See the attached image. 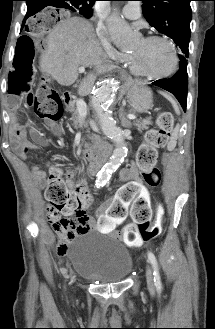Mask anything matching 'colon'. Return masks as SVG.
<instances>
[{
    "mask_svg": "<svg viewBox=\"0 0 215 329\" xmlns=\"http://www.w3.org/2000/svg\"><path fill=\"white\" fill-rule=\"evenodd\" d=\"M61 21H69V14L51 11L49 14H32L31 19H28V25H24L26 37H17L18 55L13 56V61H7L9 73H22L11 74V81L6 88L9 109H20L21 103L28 101L33 105L39 118L50 121L60 119V97L48 86L49 74H39L38 89L35 93L26 81H29L33 73L32 64L36 55L38 38H52L53 26H60ZM173 123L172 113L166 110L161 111L157 117L156 128L146 133L145 142L137 152V164L145 183L151 188H158L161 183V173L156 166L158 149L168 142ZM45 196L51 210L61 215L59 221L52 226L62 236L63 241L66 233L75 226L76 221L86 214L92 202L91 195L85 184L71 187L63 177L61 169L54 167L49 174ZM147 200L150 203V199ZM154 212L156 222L152 226H150L151 218H133V223L124 228L123 234L126 239H141L148 242L157 238L162 232L161 221L167 219V207L155 206Z\"/></svg>",
    "mask_w": 215,
    "mask_h": 329,
    "instance_id": "colon-1",
    "label": "colon"
}]
</instances>
